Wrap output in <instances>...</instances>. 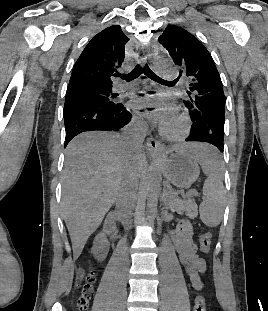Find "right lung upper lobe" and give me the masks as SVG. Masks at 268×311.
<instances>
[{"label": "right lung upper lobe", "mask_w": 268, "mask_h": 311, "mask_svg": "<svg viewBox=\"0 0 268 311\" xmlns=\"http://www.w3.org/2000/svg\"><path fill=\"white\" fill-rule=\"evenodd\" d=\"M128 41L119 25L95 35L75 63L68 88L78 85L112 88L111 77L124 61Z\"/></svg>", "instance_id": "right-lung-upper-lobe-1"}]
</instances>
